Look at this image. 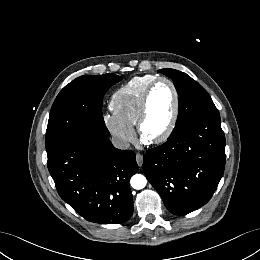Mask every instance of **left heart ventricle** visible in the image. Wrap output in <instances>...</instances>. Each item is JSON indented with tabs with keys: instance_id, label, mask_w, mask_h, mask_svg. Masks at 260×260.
<instances>
[{
	"instance_id": "1",
	"label": "left heart ventricle",
	"mask_w": 260,
	"mask_h": 260,
	"mask_svg": "<svg viewBox=\"0 0 260 260\" xmlns=\"http://www.w3.org/2000/svg\"><path fill=\"white\" fill-rule=\"evenodd\" d=\"M174 109V94L171 87L159 83L150 98L147 117L143 124V132L147 138L161 135L167 128Z\"/></svg>"
}]
</instances>
